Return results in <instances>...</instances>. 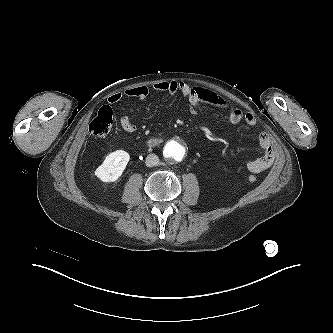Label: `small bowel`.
<instances>
[{
    "instance_id": "1",
    "label": "small bowel",
    "mask_w": 333,
    "mask_h": 333,
    "mask_svg": "<svg viewBox=\"0 0 333 333\" xmlns=\"http://www.w3.org/2000/svg\"><path fill=\"white\" fill-rule=\"evenodd\" d=\"M151 92L166 93L175 95L181 93L188 101L189 110L192 114L198 112H207L203 104L212 105L219 109L228 110L227 115H216L219 122L226 124H238L244 122L249 126H254L257 122L252 113H244L237 108H231L227 100L213 91L202 87H192L182 82L166 81L155 83L150 87L139 86L115 93L108 98V102L115 104L123 99H145ZM120 124L123 130L133 133L137 130L136 125L124 115L120 118ZM260 147L263 149V155L251 160L247 164L248 170L253 174H258L269 168L275 160V151L269 135L265 132L260 133L258 137Z\"/></svg>"
}]
</instances>
